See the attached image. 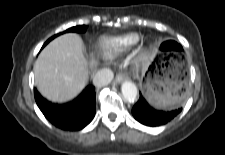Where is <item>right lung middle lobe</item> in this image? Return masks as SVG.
Wrapping results in <instances>:
<instances>
[{"instance_id":"dd1d6c3e","label":"right lung middle lobe","mask_w":225,"mask_h":155,"mask_svg":"<svg viewBox=\"0 0 225 155\" xmlns=\"http://www.w3.org/2000/svg\"><path fill=\"white\" fill-rule=\"evenodd\" d=\"M85 31H86V26H85V25L72 27V28H69L68 30H66V32H85ZM56 36H57V35L51 37V38L44 44V46H45L49 41H51L53 38H55Z\"/></svg>"}]
</instances>
